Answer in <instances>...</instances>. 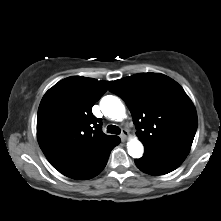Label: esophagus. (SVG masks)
<instances>
[{"label": "esophagus", "mask_w": 221, "mask_h": 221, "mask_svg": "<svg viewBox=\"0 0 221 221\" xmlns=\"http://www.w3.org/2000/svg\"><path fill=\"white\" fill-rule=\"evenodd\" d=\"M129 136V132L127 130H122L120 137L123 141H125L127 139V137Z\"/></svg>", "instance_id": "34e87169"}]
</instances>
